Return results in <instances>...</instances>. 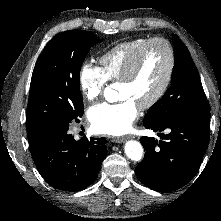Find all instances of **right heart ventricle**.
Masks as SVG:
<instances>
[{
  "mask_svg": "<svg viewBox=\"0 0 221 221\" xmlns=\"http://www.w3.org/2000/svg\"><path fill=\"white\" fill-rule=\"evenodd\" d=\"M146 40V38H137L118 43L107 49L100 56V68L108 81H117L120 79L128 61Z\"/></svg>",
  "mask_w": 221,
  "mask_h": 221,
  "instance_id": "1",
  "label": "right heart ventricle"
}]
</instances>
